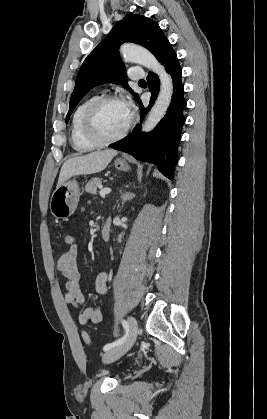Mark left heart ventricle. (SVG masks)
I'll use <instances>...</instances> for the list:
<instances>
[{
  "mask_svg": "<svg viewBox=\"0 0 267 419\" xmlns=\"http://www.w3.org/2000/svg\"><path fill=\"white\" fill-rule=\"evenodd\" d=\"M130 119V110L123 102L104 104L95 115V127L103 137H112L122 131Z\"/></svg>",
  "mask_w": 267,
  "mask_h": 419,
  "instance_id": "b2bd125f",
  "label": "left heart ventricle"
}]
</instances>
